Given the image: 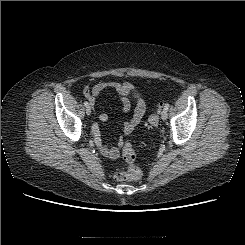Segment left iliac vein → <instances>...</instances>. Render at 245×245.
<instances>
[{"label":"left iliac vein","mask_w":245,"mask_h":245,"mask_svg":"<svg viewBox=\"0 0 245 245\" xmlns=\"http://www.w3.org/2000/svg\"><path fill=\"white\" fill-rule=\"evenodd\" d=\"M167 116H168L167 110L163 109V111L161 112V119L166 120Z\"/></svg>","instance_id":"4c4485c4"}]
</instances>
